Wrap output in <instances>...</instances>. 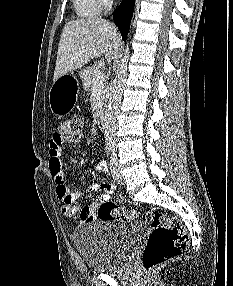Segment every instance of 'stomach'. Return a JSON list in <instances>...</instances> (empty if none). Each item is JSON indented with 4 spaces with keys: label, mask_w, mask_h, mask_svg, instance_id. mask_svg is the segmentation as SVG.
<instances>
[{
    "label": "stomach",
    "mask_w": 233,
    "mask_h": 286,
    "mask_svg": "<svg viewBox=\"0 0 233 286\" xmlns=\"http://www.w3.org/2000/svg\"><path fill=\"white\" fill-rule=\"evenodd\" d=\"M76 93V89L67 82L64 76L54 81L49 91L51 112L58 117L69 113L76 103Z\"/></svg>",
    "instance_id": "1"
}]
</instances>
